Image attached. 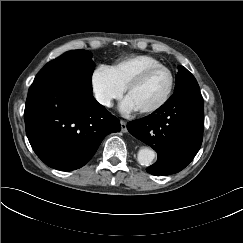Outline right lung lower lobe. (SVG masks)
<instances>
[{
    "instance_id": "right-lung-lower-lobe-1",
    "label": "right lung lower lobe",
    "mask_w": 243,
    "mask_h": 243,
    "mask_svg": "<svg viewBox=\"0 0 243 243\" xmlns=\"http://www.w3.org/2000/svg\"><path fill=\"white\" fill-rule=\"evenodd\" d=\"M24 119L28 140L49 167L71 171L85 165L102 140L121 129L92 89L38 80L29 89Z\"/></svg>"
}]
</instances>
